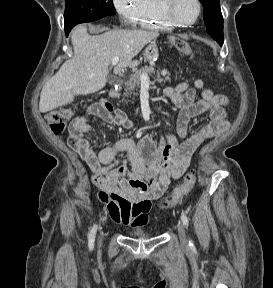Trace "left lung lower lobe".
<instances>
[{"label":"left lung lower lobe","instance_id":"obj_1","mask_svg":"<svg viewBox=\"0 0 273 288\" xmlns=\"http://www.w3.org/2000/svg\"><path fill=\"white\" fill-rule=\"evenodd\" d=\"M216 41L219 43V45L223 44V39L222 40H216Z\"/></svg>","mask_w":273,"mask_h":288}]
</instances>
